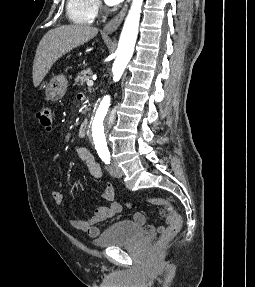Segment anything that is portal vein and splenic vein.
<instances>
[{
    "label": "portal vein and splenic vein",
    "instance_id": "obj_1",
    "mask_svg": "<svg viewBox=\"0 0 255 287\" xmlns=\"http://www.w3.org/2000/svg\"><path fill=\"white\" fill-rule=\"evenodd\" d=\"M87 86L91 88V86H93V80H87Z\"/></svg>",
    "mask_w": 255,
    "mask_h": 287
}]
</instances>
